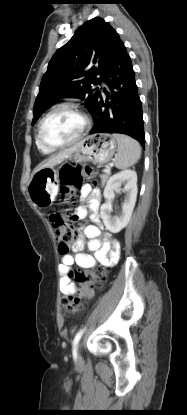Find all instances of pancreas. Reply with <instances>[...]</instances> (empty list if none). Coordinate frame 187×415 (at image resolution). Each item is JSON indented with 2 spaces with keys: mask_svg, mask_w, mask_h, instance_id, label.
<instances>
[{
  "mask_svg": "<svg viewBox=\"0 0 187 415\" xmlns=\"http://www.w3.org/2000/svg\"><path fill=\"white\" fill-rule=\"evenodd\" d=\"M110 172L100 175L101 178V186L104 187L107 179L109 178Z\"/></svg>",
  "mask_w": 187,
  "mask_h": 415,
  "instance_id": "cf45deb5",
  "label": "pancreas"
}]
</instances>
